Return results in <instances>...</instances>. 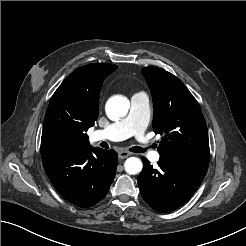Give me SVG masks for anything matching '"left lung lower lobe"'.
Instances as JSON below:
<instances>
[{"label":"left lung lower lobe","mask_w":246,"mask_h":246,"mask_svg":"<svg viewBox=\"0 0 246 246\" xmlns=\"http://www.w3.org/2000/svg\"><path fill=\"white\" fill-rule=\"evenodd\" d=\"M138 185L143 199L158 212H171L186 203L200 186L209 161L160 156L158 169L142 157Z\"/></svg>","instance_id":"obj_1"}]
</instances>
